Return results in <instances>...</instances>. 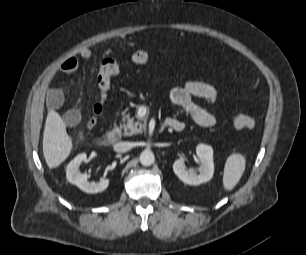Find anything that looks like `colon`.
<instances>
[{
    "label": "colon",
    "mask_w": 306,
    "mask_h": 255,
    "mask_svg": "<svg viewBox=\"0 0 306 255\" xmlns=\"http://www.w3.org/2000/svg\"><path fill=\"white\" fill-rule=\"evenodd\" d=\"M149 54L144 49L136 50L132 55V62L137 65L147 63ZM123 64L115 58H104L98 67L96 82L100 90V100L93 106V117L91 118L88 128L91 129L96 124L97 116L102 112L103 105L108 97L111 88V79L113 76L120 73ZM232 125L236 129L252 131L255 128L254 120L243 114H233L230 118Z\"/></svg>",
    "instance_id": "colon-1"
}]
</instances>
